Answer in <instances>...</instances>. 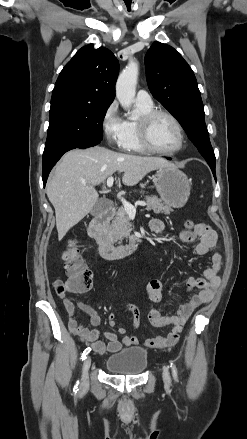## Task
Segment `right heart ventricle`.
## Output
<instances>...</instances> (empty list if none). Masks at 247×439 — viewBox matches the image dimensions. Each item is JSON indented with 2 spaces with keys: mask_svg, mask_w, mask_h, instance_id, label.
Segmentation results:
<instances>
[{
  "mask_svg": "<svg viewBox=\"0 0 247 439\" xmlns=\"http://www.w3.org/2000/svg\"><path fill=\"white\" fill-rule=\"evenodd\" d=\"M136 108L139 113V118L143 114L154 109L153 104L145 105L141 103H136ZM138 119H127L124 121L125 132L122 143L120 145L121 149L128 152H144V148L141 146L138 137Z\"/></svg>",
  "mask_w": 247,
  "mask_h": 439,
  "instance_id": "right-heart-ventricle-1",
  "label": "right heart ventricle"
}]
</instances>
